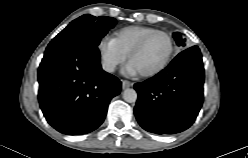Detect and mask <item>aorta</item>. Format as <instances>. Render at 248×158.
Here are the masks:
<instances>
[{
	"instance_id": "obj_1",
	"label": "aorta",
	"mask_w": 248,
	"mask_h": 158,
	"mask_svg": "<svg viewBox=\"0 0 248 158\" xmlns=\"http://www.w3.org/2000/svg\"><path fill=\"white\" fill-rule=\"evenodd\" d=\"M123 99L128 103H134L137 100V92L131 88L125 89L123 92Z\"/></svg>"
}]
</instances>
